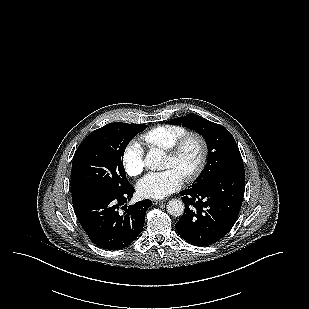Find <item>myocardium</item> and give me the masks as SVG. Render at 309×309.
<instances>
[{
	"mask_svg": "<svg viewBox=\"0 0 309 309\" xmlns=\"http://www.w3.org/2000/svg\"><path fill=\"white\" fill-rule=\"evenodd\" d=\"M191 139H195L199 142L201 148V155L197 166L191 172L183 176V179L186 182H191L195 180L202 173L207 164L209 157V147L206 138L201 133L196 131L187 132L182 135L170 148L166 150V154L170 158L177 159L185 145Z\"/></svg>",
	"mask_w": 309,
	"mask_h": 309,
	"instance_id": "1",
	"label": "myocardium"
}]
</instances>
